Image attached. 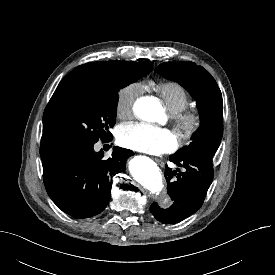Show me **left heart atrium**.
<instances>
[{
  "label": "left heart atrium",
  "instance_id": "obj_1",
  "mask_svg": "<svg viewBox=\"0 0 275 275\" xmlns=\"http://www.w3.org/2000/svg\"><path fill=\"white\" fill-rule=\"evenodd\" d=\"M121 146L149 154L171 152L177 147L173 132L148 123H126L119 127L117 134Z\"/></svg>",
  "mask_w": 275,
  "mask_h": 275
}]
</instances>
